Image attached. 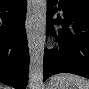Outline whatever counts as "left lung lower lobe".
Instances as JSON below:
<instances>
[{"label": "left lung lower lobe", "instance_id": "1", "mask_svg": "<svg viewBox=\"0 0 89 89\" xmlns=\"http://www.w3.org/2000/svg\"><path fill=\"white\" fill-rule=\"evenodd\" d=\"M57 3L58 8L54 7ZM58 9H62L64 19H52ZM53 24L64 28L58 30V36ZM46 32L55 35L60 50H45L43 79L58 73H72L89 78V3L47 0Z\"/></svg>", "mask_w": 89, "mask_h": 89}]
</instances>
